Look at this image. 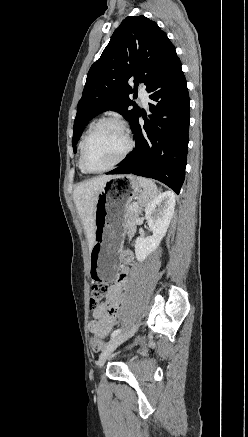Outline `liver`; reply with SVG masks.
I'll use <instances>...</instances> for the list:
<instances>
[{"mask_svg": "<svg viewBox=\"0 0 248 437\" xmlns=\"http://www.w3.org/2000/svg\"><path fill=\"white\" fill-rule=\"evenodd\" d=\"M110 178L112 176L109 175L92 178L80 183L73 192V200L85 228L90 252L94 246L96 198Z\"/></svg>", "mask_w": 248, "mask_h": 437, "instance_id": "obj_1", "label": "liver"}]
</instances>
